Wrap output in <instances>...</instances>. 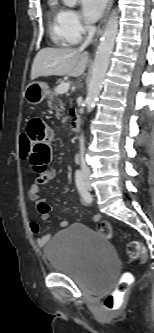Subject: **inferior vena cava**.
Listing matches in <instances>:
<instances>
[{"label": "inferior vena cava", "mask_w": 154, "mask_h": 333, "mask_svg": "<svg viewBox=\"0 0 154 333\" xmlns=\"http://www.w3.org/2000/svg\"><path fill=\"white\" fill-rule=\"evenodd\" d=\"M87 31H88L87 39L80 46V50L85 49L92 42L94 34H95V31H96V28L94 26H92V25H88L87 26ZM84 153H85L84 136L81 135L80 136V156H81L80 166H81V171L84 174H89L90 173V169L86 165V162H85V159H84Z\"/></svg>", "instance_id": "602c4592"}]
</instances>
